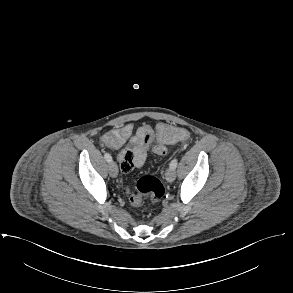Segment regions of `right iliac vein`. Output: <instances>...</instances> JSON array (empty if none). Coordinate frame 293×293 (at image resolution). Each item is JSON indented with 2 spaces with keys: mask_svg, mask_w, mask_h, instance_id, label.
Here are the masks:
<instances>
[{
  "mask_svg": "<svg viewBox=\"0 0 293 293\" xmlns=\"http://www.w3.org/2000/svg\"><path fill=\"white\" fill-rule=\"evenodd\" d=\"M109 173L111 175V177L115 178L118 175V167L117 164L115 162H110L109 163Z\"/></svg>",
  "mask_w": 293,
  "mask_h": 293,
  "instance_id": "1",
  "label": "right iliac vein"
}]
</instances>
